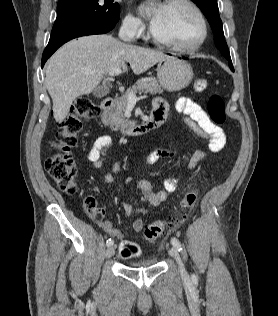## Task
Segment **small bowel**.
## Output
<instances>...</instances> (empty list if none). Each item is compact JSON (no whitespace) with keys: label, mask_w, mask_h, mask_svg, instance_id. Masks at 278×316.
<instances>
[{"label":"small bowel","mask_w":278,"mask_h":316,"mask_svg":"<svg viewBox=\"0 0 278 316\" xmlns=\"http://www.w3.org/2000/svg\"><path fill=\"white\" fill-rule=\"evenodd\" d=\"M175 109L184 115L185 124L188 128L198 137L208 142L210 152H220L226 144V134L224 130L213 123L209 115L202 109V107L195 101L187 97H181L178 99L175 105ZM153 110L160 112L165 121L170 115V109L168 104L161 98H156L153 101ZM112 146V139L108 135H101L97 137L87 155L88 160L93 164L94 167L100 168L105 161V156L108 150ZM162 159H177L175 151L160 147L153 150L146 158L148 165H153ZM206 159V153L203 151L196 152L189 161L190 169H195L201 162ZM112 173L105 175V181L109 184H113L122 189V184L118 179L121 167L118 163H113L111 166ZM178 185V176L172 175L166 178L163 182V189L156 190L153 184L148 180H140L138 187L140 190V201L147 203L152 206H159L163 203L168 194L174 192ZM123 209L125 216L129 217L132 213V207L129 203H123ZM100 225L103 230L110 236L115 238H121L123 233L120 229L114 227L109 219L102 216ZM132 230L136 233L140 232L143 228V220L137 218L134 220L131 226Z\"/></svg>","instance_id":"small-bowel-1"}]
</instances>
